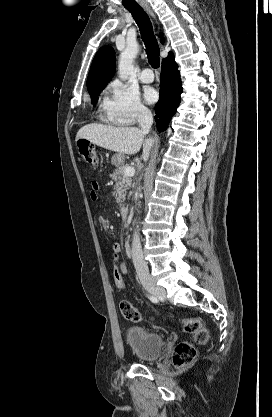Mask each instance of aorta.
<instances>
[{"label": "aorta", "mask_w": 272, "mask_h": 417, "mask_svg": "<svg viewBox=\"0 0 272 417\" xmlns=\"http://www.w3.org/2000/svg\"><path fill=\"white\" fill-rule=\"evenodd\" d=\"M139 52V46L136 42L128 43L125 50L120 54L118 73L121 80H126L133 72V60Z\"/></svg>", "instance_id": "1"}]
</instances>
